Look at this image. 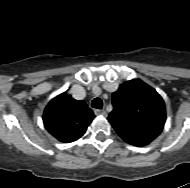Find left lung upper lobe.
I'll use <instances>...</instances> for the list:
<instances>
[{
  "instance_id": "1",
  "label": "left lung upper lobe",
  "mask_w": 190,
  "mask_h": 188,
  "mask_svg": "<svg viewBox=\"0 0 190 188\" xmlns=\"http://www.w3.org/2000/svg\"><path fill=\"white\" fill-rule=\"evenodd\" d=\"M113 111L108 121L113 127L158 136L165 124V103L155 89L139 79L121 84L112 94Z\"/></svg>"
}]
</instances>
